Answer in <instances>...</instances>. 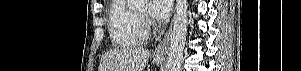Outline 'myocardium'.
Instances as JSON below:
<instances>
[{
    "label": "myocardium",
    "mask_w": 301,
    "mask_h": 71,
    "mask_svg": "<svg viewBox=\"0 0 301 71\" xmlns=\"http://www.w3.org/2000/svg\"><path fill=\"white\" fill-rule=\"evenodd\" d=\"M135 13L137 14V16L139 17L140 20L147 21L148 17H147V13L141 12L139 10V8H134Z\"/></svg>",
    "instance_id": "f54148a6"
}]
</instances>
